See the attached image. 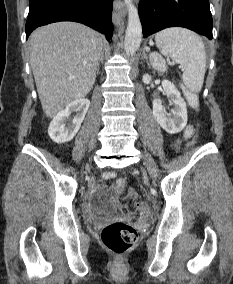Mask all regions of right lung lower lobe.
<instances>
[{"instance_id":"right-lung-lower-lobe-1","label":"right lung lower lobe","mask_w":233,"mask_h":284,"mask_svg":"<svg viewBox=\"0 0 233 284\" xmlns=\"http://www.w3.org/2000/svg\"><path fill=\"white\" fill-rule=\"evenodd\" d=\"M113 0H30L26 21V38L39 26L58 21L83 23L106 35L113 33Z\"/></svg>"}]
</instances>
